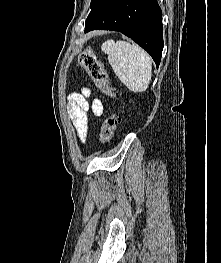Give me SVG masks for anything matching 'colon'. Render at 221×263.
Here are the masks:
<instances>
[{"instance_id": "colon-1", "label": "colon", "mask_w": 221, "mask_h": 263, "mask_svg": "<svg viewBox=\"0 0 221 263\" xmlns=\"http://www.w3.org/2000/svg\"><path fill=\"white\" fill-rule=\"evenodd\" d=\"M80 66L88 73L94 85L106 96L113 97L114 92L110 86L108 73L92 50H85L79 59ZM118 125V116L116 113H110L104 120L100 140L107 143L112 140Z\"/></svg>"}]
</instances>
